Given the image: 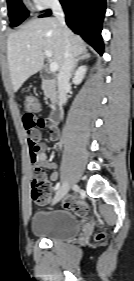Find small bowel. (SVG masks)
Instances as JSON below:
<instances>
[{"label": "small bowel", "mask_w": 134, "mask_h": 281, "mask_svg": "<svg viewBox=\"0 0 134 281\" xmlns=\"http://www.w3.org/2000/svg\"><path fill=\"white\" fill-rule=\"evenodd\" d=\"M23 125L26 131L29 157L33 167L48 168L52 172L49 176V180L54 182L58 179V172L56 171V164L52 162L46 154L47 144L42 141V135L40 128L47 126L49 128L50 139L57 141L59 139L58 128L49 124L45 119L37 117L33 112H27L23 115Z\"/></svg>", "instance_id": "small-bowel-1"}]
</instances>
